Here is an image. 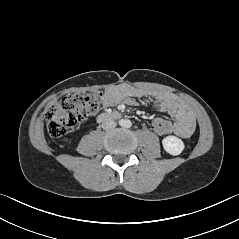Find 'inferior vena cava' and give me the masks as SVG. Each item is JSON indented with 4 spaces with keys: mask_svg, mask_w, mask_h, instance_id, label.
<instances>
[{
    "mask_svg": "<svg viewBox=\"0 0 239 239\" xmlns=\"http://www.w3.org/2000/svg\"><path fill=\"white\" fill-rule=\"evenodd\" d=\"M101 126L104 130H112L116 127V122L113 119L107 118L102 122Z\"/></svg>",
    "mask_w": 239,
    "mask_h": 239,
    "instance_id": "obj_1",
    "label": "inferior vena cava"
}]
</instances>
